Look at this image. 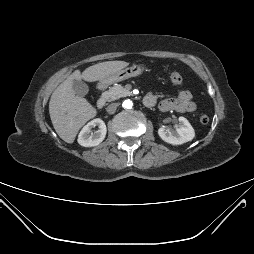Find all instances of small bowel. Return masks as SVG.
<instances>
[{"label":"small bowel","mask_w":254,"mask_h":254,"mask_svg":"<svg viewBox=\"0 0 254 254\" xmlns=\"http://www.w3.org/2000/svg\"><path fill=\"white\" fill-rule=\"evenodd\" d=\"M156 104L157 97L155 95H148ZM159 108L163 112L178 111V112H193L196 109V104L192 99V94L188 90H179L176 98L164 99L160 102Z\"/></svg>","instance_id":"c3829d8e"}]
</instances>
